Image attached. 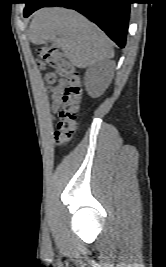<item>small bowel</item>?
<instances>
[{
	"label": "small bowel",
	"mask_w": 166,
	"mask_h": 267,
	"mask_svg": "<svg viewBox=\"0 0 166 267\" xmlns=\"http://www.w3.org/2000/svg\"><path fill=\"white\" fill-rule=\"evenodd\" d=\"M66 85V82L64 80H60L57 85L55 86L53 90V101L54 104L57 105L59 102V95L63 91L64 87Z\"/></svg>",
	"instance_id": "small-bowel-1"
}]
</instances>
